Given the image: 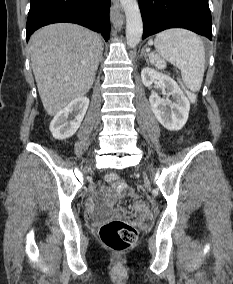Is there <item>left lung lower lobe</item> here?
Segmentation results:
<instances>
[{
  "label": "left lung lower lobe",
  "instance_id": "0a47b994",
  "mask_svg": "<svg viewBox=\"0 0 233 284\" xmlns=\"http://www.w3.org/2000/svg\"><path fill=\"white\" fill-rule=\"evenodd\" d=\"M143 39L168 28H185L212 40L208 0H139Z\"/></svg>",
  "mask_w": 233,
  "mask_h": 284
}]
</instances>
